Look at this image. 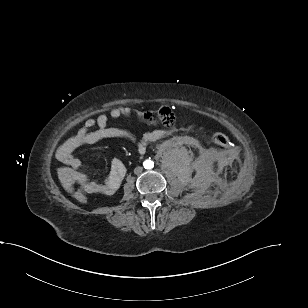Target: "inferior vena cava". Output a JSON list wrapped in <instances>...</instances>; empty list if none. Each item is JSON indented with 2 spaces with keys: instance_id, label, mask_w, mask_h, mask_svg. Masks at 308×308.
I'll return each mask as SVG.
<instances>
[{
  "instance_id": "obj_1",
  "label": "inferior vena cava",
  "mask_w": 308,
  "mask_h": 308,
  "mask_svg": "<svg viewBox=\"0 0 308 308\" xmlns=\"http://www.w3.org/2000/svg\"><path fill=\"white\" fill-rule=\"evenodd\" d=\"M142 170H143L142 167H136V168L134 169V173H135V174H139V173L142 172Z\"/></svg>"
}]
</instances>
